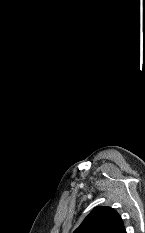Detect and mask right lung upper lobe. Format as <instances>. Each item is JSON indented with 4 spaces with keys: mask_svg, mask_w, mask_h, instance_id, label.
Wrapping results in <instances>:
<instances>
[{
    "mask_svg": "<svg viewBox=\"0 0 145 233\" xmlns=\"http://www.w3.org/2000/svg\"><path fill=\"white\" fill-rule=\"evenodd\" d=\"M74 233H126L120 215L106 206L95 207Z\"/></svg>",
    "mask_w": 145,
    "mask_h": 233,
    "instance_id": "obj_1",
    "label": "right lung upper lobe"
}]
</instances>
